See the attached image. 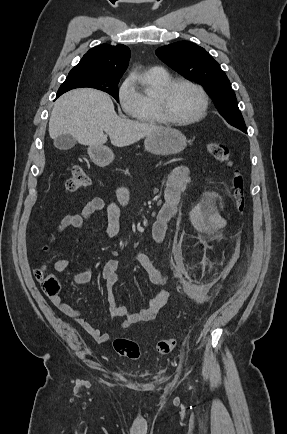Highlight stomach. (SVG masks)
<instances>
[{
  "instance_id": "1",
  "label": "stomach",
  "mask_w": 287,
  "mask_h": 434,
  "mask_svg": "<svg viewBox=\"0 0 287 434\" xmlns=\"http://www.w3.org/2000/svg\"><path fill=\"white\" fill-rule=\"evenodd\" d=\"M146 151L154 155H173L180 153L187 146V139L183 133L174 128H163L148 135L144 141ZM88 154L91 160L99 165L110 164L114 154L106 146H89Z\"/></svg>"
}]
</instances>
